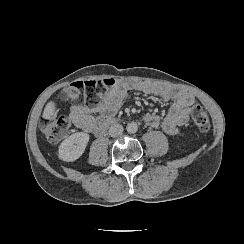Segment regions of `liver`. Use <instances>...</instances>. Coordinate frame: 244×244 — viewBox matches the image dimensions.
<instances>
[{"label": "liver", "mask_w": 244, "mask_h": 244, "mask_svg": "<svg viewBox=\"0 0 244 244\" xmlns=\"http://www.w3.org/2000/svg\"><path fill=\"white\" fill-rule=\"evenodd\" d=\"M58 111L57 100L50 99L44 107L42 118L44 121L52 120L55 118Z\"/></svg>", "instance_id": "obj_1"}]
</instances>
